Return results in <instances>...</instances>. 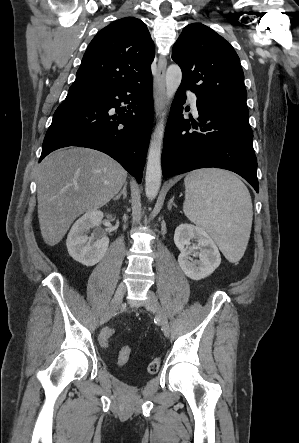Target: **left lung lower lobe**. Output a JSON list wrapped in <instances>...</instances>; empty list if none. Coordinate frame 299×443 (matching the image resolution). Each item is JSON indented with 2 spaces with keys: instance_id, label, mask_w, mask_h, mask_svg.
Masks as SVG:
<instances>
[{
  "instance_id": "left-lung-lower-lobe-1",
  "label": "left lung lower lobe",
  "mask_w": 299,
  "mask_h": 443,
  "mask_svg": "<svg viewBox=\"0 0 299 443\" xmlns=\"http://www.w3.org/2000/svg\"><path fill=\"white\" fill-rule=\"evenodd\" d=\"M186 89L180 85L167 122L162 152L164 177L216 167L239 174L259 192L248 115L214 108L197 98L199 121L190 123L182 114Z\"/></svg>"
}]
</instances>
